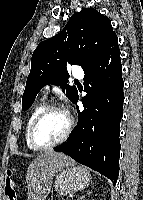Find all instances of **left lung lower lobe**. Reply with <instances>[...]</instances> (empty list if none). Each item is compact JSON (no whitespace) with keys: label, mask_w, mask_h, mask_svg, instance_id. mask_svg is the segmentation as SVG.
Listing matches in <instances>:
<instances>
[{"label":"left lung lower lobe","mask_w":143,"mask_h":200,"mask_svg":"<svg viewBox=\"0 0 143 200\" xmlns=\"http://www.w3.org/2000/svg\"><path fill=\"white\" fill-rule=\"evenodd\" d=\"M84 109H78V123L68 141L56 148L77 162L109 178L119 175L120 121L124 102L122 65L117 36L84 70ZM78 94L73 103L78 101Z\"/></svg>","instance_id":"left-lung-lower-lobe-1"}]
</instances>
